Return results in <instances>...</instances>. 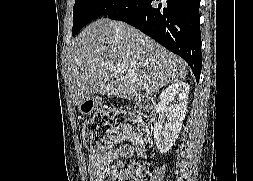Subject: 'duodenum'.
Listing matches in <instances>:
<instances>
[{"label":"duodenum","mask_w":253,"mask_h":181,"mask_svg":"<svg viewBox=\"0 0 253 181\" xmlns=\"http://www.w3.org/2000/svg\"><path fill=\"white\" fill-rule=\"evenodd\" d=\"M155 104L152 99L142 101L138 106L140 115L147 121H153L155 117Z\"/></svg>","instance_id":"duodenum-1"}]
</instances>
